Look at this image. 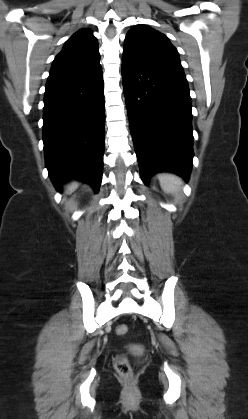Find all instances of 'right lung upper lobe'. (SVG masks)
<instances>
[{
	"label": "right lung upper lobe",
	"mask_w": 248,
	"mask_h": 419,
	"mask_svg": "<svg viewBox=\"0 0 248 419\" xmlns=\"http://www.w3.org/2000/svg\"><path fill=\"white\" fill-rule=\"evenodd\" d=\"M97 39L88 29L76 32L53 61L48 81L66 79L86 73L99 64Z\"/></svg>",
	"instance_id": "right-lung-upper-lobe-1"
}]
</instances>
